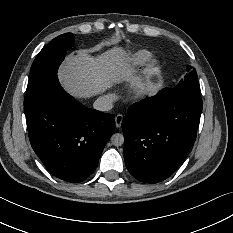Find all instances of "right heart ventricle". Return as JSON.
I'll return each instance as SVG.
<instances>
[{
    "label": "right heart ventricle",
    "mask_w": 233,
    "mask_h": 233,
    "mask_svg": "<svg viewBox=\"0 0 233 233\" xmlns=\"http://www.w3.org/2000/svg\"><path fill=\"white\" fill-rule=\"evenodd\" d=\"M151 57L152 53L148 50L135 51L126 59L124 68L127 72H136L142 69L148 63Z\"/></svg>",
    "instance_id": "right-heart-ventricle-1"
}]
</instances>
